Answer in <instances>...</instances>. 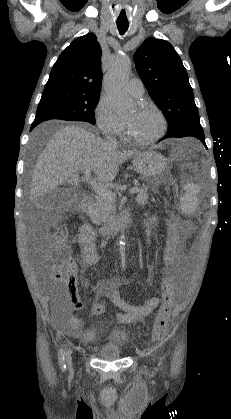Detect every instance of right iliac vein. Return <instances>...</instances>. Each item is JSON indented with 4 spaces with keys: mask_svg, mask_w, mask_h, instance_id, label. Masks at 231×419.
Wrapping results in <instances>:
<instances>
[{
    "mask_svg": "<svg viewBox=\"0 0 231 419\" xmlns=\"http://www.w3.org/2000/svg\"><path fill=\"white\" fill-rule=\"evenodd\" d=\"M66 362H67V365L69 366V368H71V366H72V356H71V351L70 350L66 351Z\"/></svg>",
    "mask_w": 231,
    "mask_h": 419,
    "instance_id": "63e3f726",
    "label": "right iliac vein"
}]
</instances>
